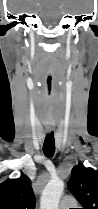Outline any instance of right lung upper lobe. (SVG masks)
Listing matches in <instances>:
<instances>
[{
  "label": "right lung upper lobe",
  "instance_id": "obj_1",
  "mask_svg": "<svg viewBox=\"0 0 98 209\" xmlns=\"http://www.w3.org/2000/svg\"><path fill=\"white\" fill-rule=\"evenodd\" d=\"M30 179L24 174L0 184V209H35Z\"/></svg>",
  "mask_w": 98,
  "mask_h": 209
}]
</instances>
